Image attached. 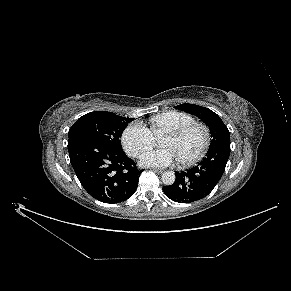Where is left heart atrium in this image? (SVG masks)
I'll list each match as a JSON object with an SVG mask.
<instances>
[{
    "instance_id": "1",
    "label": "left heart atrium",
    "mask_w": 291,
    "mask_h": 291,
    "mask_svg": "<svg viewBox=\"0 0 291 291\" xmlns=\"http://www.w3.org/2000/svg\"><path fill=\"white\" fill-rule=\"evenodd\" d=\"M178 160L171 148H161L146 151L140 157V163L149 167H166Z\"/></svg>"
}]
</instances>
